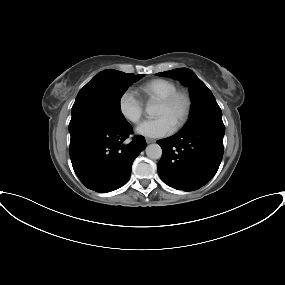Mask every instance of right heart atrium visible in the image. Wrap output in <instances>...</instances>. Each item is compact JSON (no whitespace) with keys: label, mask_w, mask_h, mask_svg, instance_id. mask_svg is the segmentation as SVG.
<instances>
[{"label":"right heart atrium","mask_w":285,"mask_h":285,"mask_svg":"<svg viewBox=\"0 0 285 285\" xmlns=\"http://www.w3.org/2000/svg\"><path fill=\"white\" fill-rule=\"evenodd\" d=\"M119 112L130 123H138L144 112V104L136 93L130 89L125 90L119 97Z\"/></svg>","instance_id":"right-heart-atrium-1"}]
</instances>
